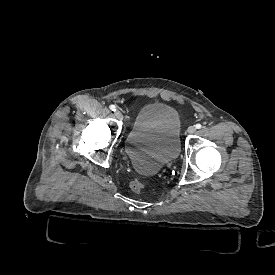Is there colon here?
Instances as JSON below:
<instances>
[{"instance_id": "5ec220e1", "label": "colon", "mask_w": 275, "mask_h": 275, "mask_svg": "<svg viewBox=\"0 0 275 275\" xmlns=\"http://www.w3.org/2000/svg\"><path fill=\"white\" fill-rule=\"evenodd\" d=\"M144 187L145 182L142 179H134L130 184V188L134 193H140Z\"/></svg>"}]
</instances>
